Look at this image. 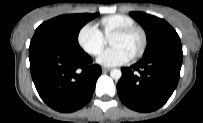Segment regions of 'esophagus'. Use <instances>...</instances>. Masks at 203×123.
I'll use <instances>...</instances> for the list:
<instances>
[{
  "instance_id": "1",
  "label": "esophagus",
  "mask_w": 203,
  "mask_h": 123,
  "mask_svg": "<svg viewBox=\"0 0 203 123\" xmlns=\"http://www.w3.org/2000/svg\"><path fill=\"white\" fill-rule=\"evenodd\" d=\"M110 70H111V68L102 67V71H103V72H108V71H110Z\"/></svg>"
}]
</instances>
